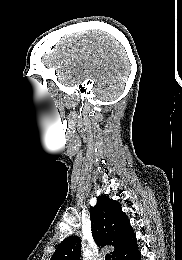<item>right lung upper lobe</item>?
<instances>
[{
    "label": "right lung upper lobe",
    "mask_w": 182,
    "mask_h": 260,
    "mask_svg": "<svg viewBox=\"0 0 182 260\" xmlns=\"http://www.w3.org/2000/svg\"><path fill=\"white\" fill-rule=\"evenodd\" d=\"M92 236L98 246L111 245L112 259L130 246L135 234L121 204L106 195L97 198L96 205L90 211ZM81 240L78 236L64 239L50 260H80Z\"/></svg>",
    "instance_id": "cb5924a9"
}]
</instances>
